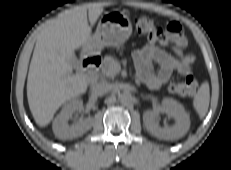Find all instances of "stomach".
<instances>
[{"mask_svg":"<svg viewBox=\"0 0 231 170\" xmlns=\"http://www.w3.org/2000/svg\"><path fill=\"white\" fill-rule=\"evenodd\" d=\"M131 33L132 24L126 14L105 12L86 47L97 51L104 47H117L127 41Z\"/></svg>","mask_w":231,"mask_h":170,"instance_id":"0dacf381","label":"stomach"}]
</instances>
